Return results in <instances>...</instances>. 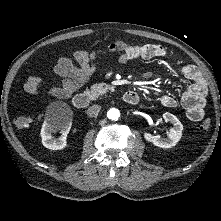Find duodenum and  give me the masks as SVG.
<instances>
[{"mask_svg":"<svg viewBox=\"0 0 221 221\" xmlns=\"http://www.w3.org/2000/svg\"><path fill=\"white\" fill-rule=\"evenodd\" d=\"M123 100L127 104L134 105V104L138 103L139 96L135 91H127L123 95ZM72 103H73L75 108L84 109L89 105L90 98L87 94L78 93L73 97Z\"/></svg>","mask_w":221,"mask_h":221,"instance_id":"1","label":"duodenum"}]
</instances>
